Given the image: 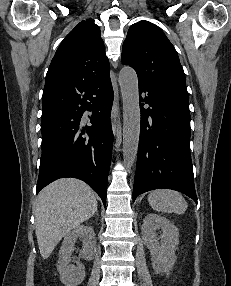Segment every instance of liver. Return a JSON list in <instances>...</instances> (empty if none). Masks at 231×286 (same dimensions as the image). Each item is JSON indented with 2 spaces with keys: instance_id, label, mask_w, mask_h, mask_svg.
I'll return each mask as SVG.
<instances>
[{
  "instance_id": "liver-1",
  "label": "liver",
  "mask_w": 231,
  "mask_h": 286,
  "mask_svg": "<svg viewBox=\"0 0 231 286\" xmlns=\"http://www.w3.org/2000/svg\"><path fill=\"white\" fill-rule=\"evenodd\" d=\"M96 210L93 190L79 179L63 178L45 187L34 206L35 233L42 258L47 259L59 241Z\"/></svg>"
}]
</instances>
